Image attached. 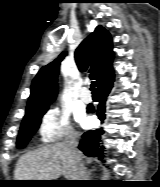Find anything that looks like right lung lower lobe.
<instances>
[{
  "label": "right lung lower lobe",
  "mask_w": 160,
  "mask_h": 187,
  "mask_svg": "<svg viewBox=\"0 0 160 187\" xmlns=\"http://www.w3.org/2000/svg\"><path fill=\"white\" fill-rule=\"evenodd\" d=\"M114 74L109 78L103 80L98 86V94L100 98V104L97 110L93 106H88V113H96L97 117L104 121L105 119V100L113 87ZM104 131L102 129H96L93 131H87L82 135V140L79 144V149L87 156H94L102 160L104 158V146L102 145V136ZM82 187H89L87 184L78 185Z\"/></svg>",
  "instance_id": "obj_1"
}]
</instances>
